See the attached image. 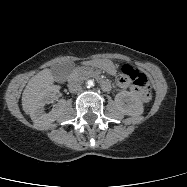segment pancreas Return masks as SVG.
Masks as SVG:
<instances>
[{
    "label": "pancreas",
    "instance_id": "1",
    "mask_svg": "<svg viewBox=\"0 0 187 187\" xmlns=\"http://www.w3.org/2000/svg\"><path fill=\"white\" fill-rule=\"evenodd\" d=\"M75 76L78 79L86 80L88 78L94 77V71L90 67H78L75 69Z\"/></svg>",
    "mask_w": 187,
    "mask_h": 187
}]
</instances>
